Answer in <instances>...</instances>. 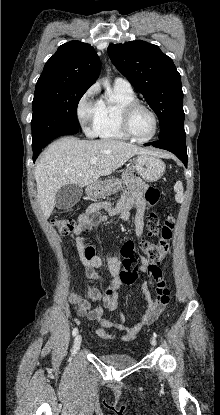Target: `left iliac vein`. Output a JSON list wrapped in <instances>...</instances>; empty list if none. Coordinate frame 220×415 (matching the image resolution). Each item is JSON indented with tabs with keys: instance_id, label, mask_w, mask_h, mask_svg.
<instances>
[{
	"instance_id": "4c4485c4",
	"label": "left iliac vein",
	"mask_w": 220,
	"mask_h": 415,
	"mask_svg": "<svg viewBox=\"0 0 220 415\" xmlns=\"http://www.w3.org/2000/svg\"><path fill=\"white\" fill-rule=\"evenodd\" d=\"M151 345H152V346H155V345H156V339H155V338H152V339H151Z\"/></svg>"
}]
</instances>
